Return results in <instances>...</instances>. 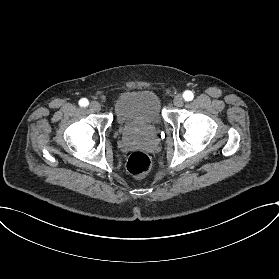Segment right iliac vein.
I'll return each instance as SVG.
<instances>
[{"label": "right iliac vein", "mask_w": 279, "mask_h": 279, "mask_svg": "<svg viewBox=\"0 0 279 279\" xmlns=\"http://www.w3.org/2000/svg\"><path fill=\"white\" fill-rule=\"evenodd\" d=\"M89 108L91 111L99 112L101 109V105L98 102L93 101L89 104Z\"/></svg>", "instance_id": "63e3f726"}]
</instances>
